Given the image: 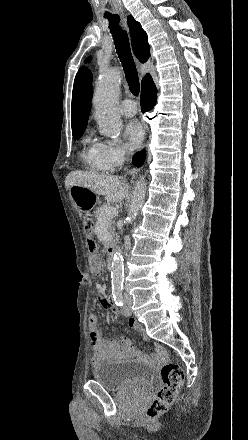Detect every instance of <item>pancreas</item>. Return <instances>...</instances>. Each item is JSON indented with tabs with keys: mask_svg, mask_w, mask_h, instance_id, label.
<instances>
[{
	"mask_svg": "<svg viewBox=\"0 0 248 440\" xmlns=\"http://www.w3.org/2000/svg\"><path fill=\"white\" fill-rule=\"evenodd\" d=\"M108 207L109 206L107 204H104L96 209L95 217L97 220L102 218V216H101L102 210L106 209ZM105 220L107 221L108 230L110 231L111 234H113L114 233V220H113V218H106Z\"/></svg>",
	"mask_w": 248,
	"mask_h": 440,
	"instance_id": "pancreas-1",
	"label": "pancreas"
}]
</instances>
